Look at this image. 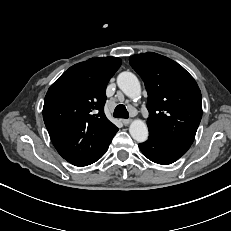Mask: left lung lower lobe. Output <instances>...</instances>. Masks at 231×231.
Masks as SVG:
<instances>
[{
  "instance_id": "1",
  "label": "left lung lower lobe",
  "mask_w": 231,
  "mask_h": 231,
  "mask_svg": "<svg viewBox=\"0 0 231 231\" xmlns=\"http://www.w3.org/2000/svg\"><path fill=\"white\" fill-rule=\"evenodd\" d=\"M139 148L149 160L163 165L175 162L188 150L151 132L148 140L140 143Z\"/></svg>"
}]
</instances>
